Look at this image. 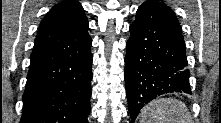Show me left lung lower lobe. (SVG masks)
<instances>
[{"label": "left lung lower lobe", "instance_id": "obj_1", "mask_svg": "<svg viewBox=\"0 0 221 123\" xmlns=\"http://www.w3.org/2000/svg\"><path fill=\"white\" fill-rule=\"evenodd\" d=\"M125 84L131 123L145 104L165 93L191 94L185 42L174 13L145 1L130 25Z\"/></svg>", "mask_w": 221, "mask_h": 123}]
</instances>
